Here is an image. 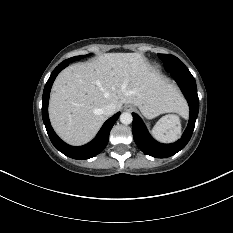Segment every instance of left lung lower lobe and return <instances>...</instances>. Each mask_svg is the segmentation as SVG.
<instances>
[{"label": "left lung lower lobe", "mask_w": 233, "mask_h": 233, "mask_svg": "<svg viewBox=\"0 0 233 233\" xmlns=\"http://www.w3.org/2000/svg\"><path fill=\"white\" fill-rule=\"evenodd\" d=\"M171 76L178 83L190 107L189 123L181 139L171 144L157 142L151 137L141 118L137 114L132 113V133L137 146L145 154L156 158L170 157L186 146L192 136L199 111L197 86L192 74L189 71L171 72Z\"/></svg>", "instance_id": "0a47b994"}]
</instances>
